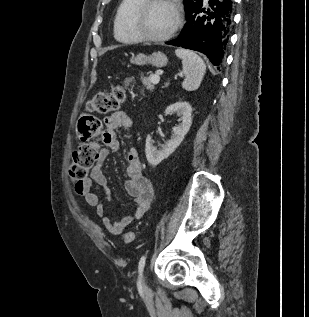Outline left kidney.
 I'll return each mask as SVG.
<instances>
[{"label":"left kidney","instance_id":"1","mask_svg":"<svg viewBox=\"0 0 309 317\" xmlns=\"http://www.w3.org/2000/svg\"><path fill=\"white\" fill-rule=\"evenodd\" d=\"M174 113L180 117L181 123L173 128V135L171 139L168 140L160 150H157L152 145L151 136L147 135L145 145L146 158L149 164L153 166L161 163L176 150L191 127L192 107L188 102L178 101L169 105L165 110V114L167 115H172Z\"/></svg>","mask_w":309,"mask_h":317}]
</instances>
